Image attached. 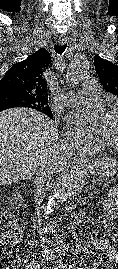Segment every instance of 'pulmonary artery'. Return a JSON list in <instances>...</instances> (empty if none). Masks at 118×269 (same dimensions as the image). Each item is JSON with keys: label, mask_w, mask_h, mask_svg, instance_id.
<instances>
[{"label": "pulmonary artery", "mask_w": 118, "mask_h": 269, "mask_svg": "<svg viewBox=\"0 0 118 269\" xmlns=\"http://www.w3.org/2000/svg\"><path fill=\"white\" fill-rule=\"evenodd\" d=\"M97 89V80L93 77H88L83 82V90L80 92L67 93L64 102L70 106L79 105L93 97L96 94Z\"/></svg>", "instance_id": "obj_1"}]
</instances>
